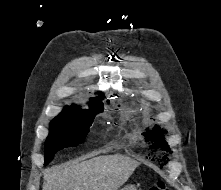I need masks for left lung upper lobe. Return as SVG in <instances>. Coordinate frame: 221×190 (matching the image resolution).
Wrapping results in <instances>:
<instances>
[{
    "instance_id": "left-lung-upper-lobe-1",
    "label": "left lung upper lobe",
    "mask_w": 221,
    "mask_h": 190,
    "mask_svg": "<svg viewBox=\"0 0 221 190\" xmlns=\"http://www.w3.org/2000/svg\"><path fill=\"white\" fill-rule=\"evenodd\" d=\"M146 133L148 134L147 137L152 139V141L155 140L156 142H158V140L156 138H159L160 133H158V132L153 133V131H150V132L147 131Z\"/></svg>"
}]
</instances>
